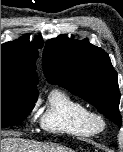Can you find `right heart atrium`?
I'll use <instances>...</instances> for the list:
<instances>
[{
  "instance_id": "right-heart-atrium-1",
  "label": "right heart atrium",
  "mask_w": 123,
  "mask_h": 152,
  "mask_svg": "<svg viewBox=\"0 0 123 152\" xmlns=\"http://www.w3.org/2000/svg\"><path fill=\"white\" fill-rule=\"evenodd\" d=\"M36 110H37V105H34V106L31 108L30 112H29V116H30V117H33V115L35 114Z\"/></svg>"
}]
</instances>
